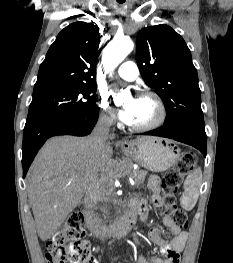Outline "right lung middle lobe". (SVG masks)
I'll list each match as a JSON object with an SVG mask.
<instances>
[{"instance_id":"1","label":"right lung middle lobe","mask_w":233,"mask_h":263,"mask_svg":"<svg viewBox=\"0 0 233 263\" xmlns=\"http://www.w3.org/2000/svg\"><path fill=\"white\" fill-rule=\"evenodd\" d=\"M95 91L96 84H83L33 95L25 127L94 110L97 108Z\"/></svg>"}]
</instances>
